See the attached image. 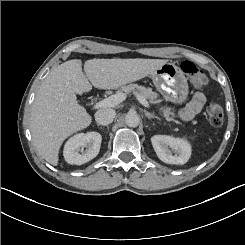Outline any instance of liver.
<instances>
[{
	"instance_id": "1",
	"label": "liver",
	"mask_w": 245,
	"mask_h": 245,
	"mask_svg": "<svg viewBox=\"0 0 245 245\" xmlns=\"http://www.w3.org/2000/svg\"><path fill=\"white\" fill-rule=\"evenodd\" d=\"M166 62L143 58L90 59L84 64L86 75L79 59L54 68L41 84L31 111L30 130L39 154L56 165L63 140L90 124L91 117L78 104L76 93L88 91L92 85L116 89L146 76Z\"/></svg>"
}]
</instances>
